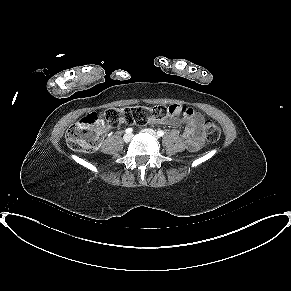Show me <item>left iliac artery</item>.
<instances>
[{
  "instance_id": "1",
  "label": "left iliac artery",
  "mask_w": 291,
  "mask_h": 291,
  "mask_svg": "<svg viewBox=\"0 0 291 291\" xmlns=\"http://www.w3.org/2000/svg\"><path fill=\"white\" fill-rule=\"evenodd\" d=\"M157 135H158L159 137H161V136L164 135V132H163L162 130H159V131L157 132Z\"/></svg>"
}]
</instances>
